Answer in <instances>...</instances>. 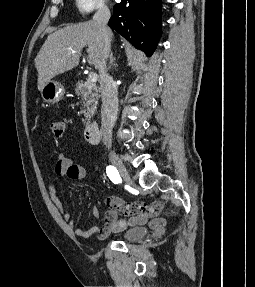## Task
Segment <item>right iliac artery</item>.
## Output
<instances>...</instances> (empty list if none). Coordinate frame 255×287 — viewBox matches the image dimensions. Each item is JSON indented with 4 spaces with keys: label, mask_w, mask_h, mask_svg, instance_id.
<instances>
[{
    "label": "right iliac artery",
    "mask_w": 255,
    "mask_h": 287,
    "mask_svg": "<svg viewBox=\"0 0 255 287\" xmlns=\"http://www.w3.org/2000/svg\"><path fill=\"white\" fill-rule=\"evenodd\" d=\"M106 173H107L109 179L113 183H115V184L121 183L122 180H121V177L119 175V172L114 166H111V165L107 166L106 167Z\"/></svg>",
    "instance_id": "1"
}]
</instances>
